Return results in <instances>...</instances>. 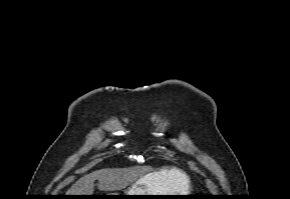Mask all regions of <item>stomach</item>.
Wrapping results in <instances>:
<instances>
[{
	"label": "stomach",
	"instance_id": "stomach-1",
	"mask_svg": "<svg viewBox=\"0 0 290 199\" xmlns=\"http://www.w3.org/2000/svg\"><path fill=\"white\" fill-rule=\"evenodd\" d=\"M159 173V172H157ZM157 173L137 180L124 194L111 193L109 195H179L176 190L165 187V182L157 178ZM125 199H151L147 196H124Z\"/></svg>",
	"mask_w": 290,
	"mask_h": 199
}]
</instances>
